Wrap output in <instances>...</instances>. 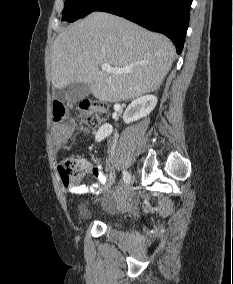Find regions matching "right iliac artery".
Segmentation results:
<instances>
[{
	"label": "right iliac artery",
	"instance_id": "1",
	"mask_svg": "<svg viewBox=\"0 0 233 284\" xmlns=\"http://www.w3.org/2000/svg\"><path fill=\"white\" fill-rule=\"evenodd\" d=\"M129 173L127 171H123V180L125 183H128Z\"/></svg>",
	"mask_w": 233,
	"mask_h": 284
}]
</instances>
